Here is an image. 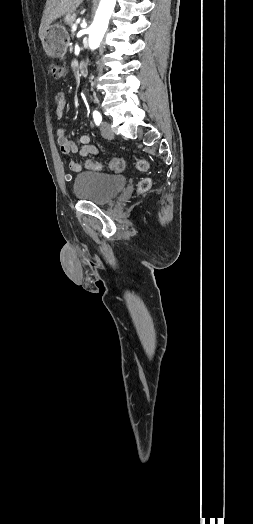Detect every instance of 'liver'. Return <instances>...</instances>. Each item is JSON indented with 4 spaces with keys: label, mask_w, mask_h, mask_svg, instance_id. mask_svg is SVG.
Segmentation results:
<instances>
[{
    "label": "liver",
    "mask_w": 253,
    "mask_h": 524,
    "mask_svg": "<svg viewBox=\"0 0 253 524\" xmlns=\"http://www.w3.org/2000/svg\"><path fill=\"white\" fill-rule=\"evenodd\" d=\"M82 1L83 0H47L39 28L40 40L43 41V37L53 21L65 14L72 13Z\"/></svg>",
    "instance_id": "liver-1"
}]
</instances>
